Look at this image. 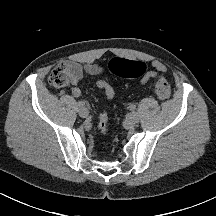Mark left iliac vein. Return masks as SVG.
Instances as JSON below:
<instances>
[{
  "label": "left iliac vein",
  "mask_w": 216,
  "mask_h": 216,
  "mask_svg": "<svg viewBox=\"0 0 216 216\" xmlns=\"http://www.w3.org/2000/svg\"><path fill=\"white\" fill-rule=\"evenodd\" d=\"M129 119L131 121V123L136 124L139 122V115L137 112H131L129 115Z\"/></svg>",
  "instance_id": "left-iliac-vein-1"
}]
</instances>
